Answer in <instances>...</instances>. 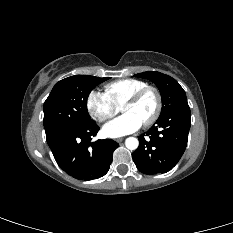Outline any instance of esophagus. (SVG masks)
Masks as SVG:
<instances>
[{
	"label": "esophagus",
	"mask_w": 233,
	"mask_h": 233,
	"mask_svg": "<svg viewBox=\"0 0 233 233\" xmlns=\"http://www.w3.org/2000/svg\"><path fill=\"white\" fill-rule=\"evenodd\" d=\"M123 140H124V138H117V139H116V141H117L118 143H121Z\"/></svg>",
	"instance_id": "esophagus-1"
}]
</instances>
